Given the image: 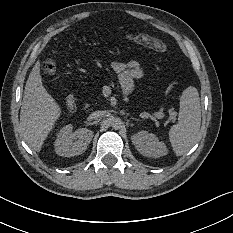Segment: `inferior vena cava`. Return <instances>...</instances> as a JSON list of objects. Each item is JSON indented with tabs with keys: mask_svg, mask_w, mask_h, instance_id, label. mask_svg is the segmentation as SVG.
Here are the masks:
<instances>
[{
	"mask_svg": "<svg viewBox=\"0 0 233 233\" xmlns=\"http://www.w3.org/2000/svg\"><path fill=\"white\" fill-rule=\"evenodd\" d=\"M104 115V111H94L90 114V117L93 118V119H98L99 117L103 116Z\"/></svg>",
	"mask_w": 233,
	"mask_h": 233,
	"instance_id": "inferior-vena-cava-1",
	"label": "inferior vena cava"
}]
</instances>
